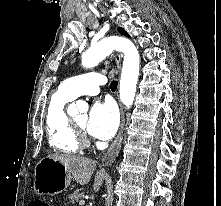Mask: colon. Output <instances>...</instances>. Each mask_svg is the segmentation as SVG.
Returning <instances> with one entry per match:
<instances>
[{"instance_id":"obj_1","label":"colon","mask_w":221,"mask_h":206,"mask_svg":"<svg viewBox=\"0 0 221 206\" xmlns=\"http://www.w3.org/2000/svg\"><path fill=\"white\" fill-rule=\"evenodd\" d=\"M29 206H50V205L42 200H34L29 204Z\"/></svg>"}]
</instances>
